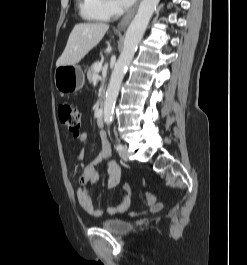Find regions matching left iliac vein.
<instances>
[{"instance_id": "1", "label": "left iliac vein", "mask_w": 247, "mask_h": 265, "mask_svg": "<svg viewBox=\"0 0 247 265\" xmlns=\"http://www.w3.org/2000/svg\"><path fill=\"white\" fill-rule=\"evenodd\" d=\"M119 155L123 160L128 161L127 146L124 145L123 148L119 150Z\"/></svg>"}]
</instances>
